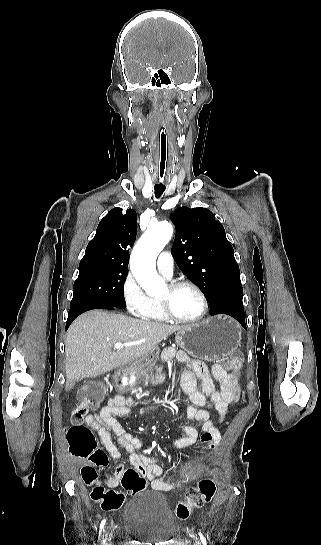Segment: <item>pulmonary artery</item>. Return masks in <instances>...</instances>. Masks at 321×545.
I'll return each instance as SVG.
<instances>
[{
	"mask_svg": "<svg viewBox=\"0 0 321 545\" xmlns=\"http://www.w3.org/2000/svg\"><path fill=\"white\" fill-rule=\"evenodd\" d=\"M157 267L164 277L170 278L172 276L174 261L168 251H163L158 255Z\"/></svg>",
	"mask_w": 321,
	"mask_h": 545,
	"instance_id": "pulmonary-artery-1",
	"label": "pulmonary artery"
}]
</instances>
